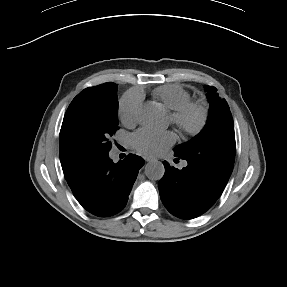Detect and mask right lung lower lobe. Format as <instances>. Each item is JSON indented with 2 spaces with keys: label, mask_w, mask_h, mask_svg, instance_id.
Segmentation results:
<instances>
[{
  "label": "right lung lower lobe",
  "mask_w": 287,
  "mask_h": 287,
  "mask_svg": "<svg viewBox=\"0 0 287 287\" xmlns=\"http://www.w3.org/2000/svg\"><path fill=\"white\" fill-rule=\"evenodd\" d=\"M144 160L129 154L115 164L107 155L79 169L67 180L78 202L90 213L107 217L120 212Z\"/></svg>",
  "instance_id": "98d812e1"
}]
</instances>
